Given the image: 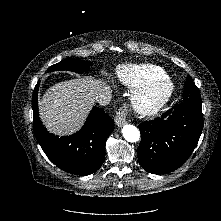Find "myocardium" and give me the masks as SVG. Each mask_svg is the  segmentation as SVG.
<instances>
[{
	"mask_svg": "<svg viewBox=\"0 0 221 221\" xmlns=\"http://www.w3.org/2000/svg\"><path fill=\"white\" fill-rule=\"evenodd\" d=\"M173 92L174 85L168 77L154 79L134 92L132 107L142 116H153L170 101Z\"/></svg>",
	"mask_w": 221,
	"mask_h": 221,
	"instance_id": "1",
	"label": "myocardium"
}]
</instances>
